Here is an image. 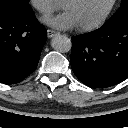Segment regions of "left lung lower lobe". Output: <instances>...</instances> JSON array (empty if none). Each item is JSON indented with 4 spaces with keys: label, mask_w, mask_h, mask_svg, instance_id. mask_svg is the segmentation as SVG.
<instances>
[{
    "label": "left lung lower lobe",
    "mask_w": 128,
    "mask_h": 128,
    "mask_svg": "<svg viewBox=\"0 0 128 128\" xmlns=\"http://www.w3.org/2000/svg\"><path fill=\"white\" fill-rule=\"evenodd\" d=\"M71 67L87 86L104 88L128 78V14L72 38Z\"/></svg>",
    "instance_id": "left-lung-lower-lobe-1"
}]
</instances>
